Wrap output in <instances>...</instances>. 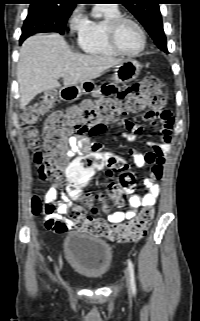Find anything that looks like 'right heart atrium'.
<instances>
[{
    "label": "right heart atrium",
    "mask_w": 200,
    "mask_h": 321,
    "mask_svg": "<svg viewBox=\"0 0 200 321\" xmlns=\"http://www.w3.org/2000/svg\"><path fill=\"white\" fill-rule=\"evenodd\" d=\"M86 23V18L79 8L72 11L69 19L68 26L72 33H79Z\"/></svg>",
    "instance_id": "right-heart-atrium-1"
}]
</instances>
